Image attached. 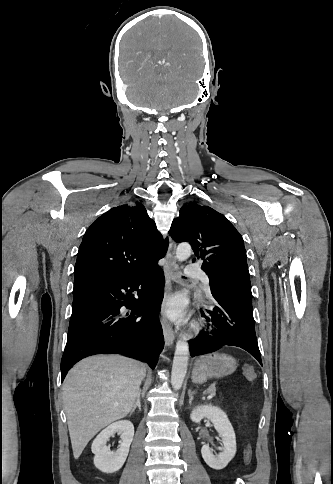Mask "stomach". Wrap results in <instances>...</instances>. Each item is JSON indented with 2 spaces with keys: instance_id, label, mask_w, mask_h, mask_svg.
Returning a JSON list of instances; mask_svg holds the SVG:
<instances>
[{
  "instance_id": "stomach-1",
  "label": "stomach",
  "mask_w": 333,
  "mask_h": 484,
  "mask_svg": "<svg viewBox=\"0 0 333 484\" xmlns=\"http://www.w3.org/2000/svg\"><path fill=\"white\" fill-rule=\"evenodd\" d=\"M236 368V360L228 354H206L195 359L191 379L193 383L203 384L210 378L227 376Z\"/></svg>"
}]
</instances>
